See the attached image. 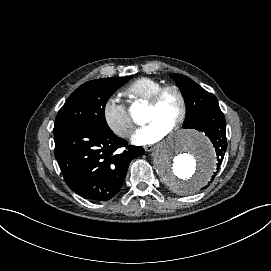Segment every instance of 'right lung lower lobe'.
<instances>
[{
    "label": "right lung lower lobe",
    "mask_w": 271,
    "mask_h": 271,
    "mask_svg": "<svg viewBox=\"0 0 271 271\" xmlns=\"http://www.w3.org/2000/svg\"><path fill=\"white\" fill-rule=\"evenodd\" d=\"M55 157L68 187L92 201H107L121 189L132 159L143 155L142 147L108 129L73 127L54 135ZM126 149L120 153L118 148Z\"/></svg>",
    "instance_id": "right-lung-lower-lobe-1"
}]
</instances>
